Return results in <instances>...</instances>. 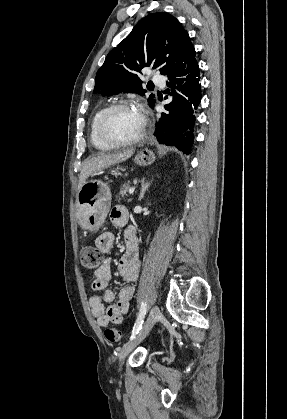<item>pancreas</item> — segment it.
I'll list each match as a JSON object with an SVG mask.
<instances>
[{"label":"pancreas","mask_w":287,"mask_h":419,"mask_svg":"<svg viewBox=\"0 0 287 419\" xmlns=\"http://www.w3.org/2000/svg\"><path fill=\"white\" fill-rule=\"evenodd\" d=\"M129 189H130L129 183L123 184L122 187L120 188L119 196H121L123 199H126L127 192L129 191Z\"/></svg>","instance_id":"obj_1"}]
</instances>
